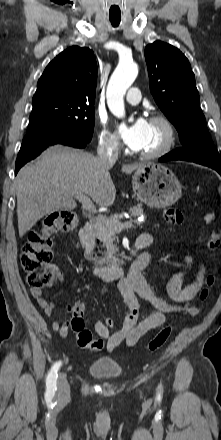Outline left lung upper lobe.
Wrapping results in <instances>:
<instances>
[{"mask_svg":"<svg viewBox=\"0 0 221 440\" xmlns=\"http://www.w3.org/2000/svg\"><path fill=\"white\" fill-rule=\"evenodd\" d=\"M150 91L159 108L179 133L183 145L172 151L183 160L221 167V158L199 106L195 76L184 54L155 41L145 48Z\"/></svg>","mask_w":221,"mask_h":440,"instance_id":"obj_1","label":"left lung upper lobe"}]
</instances>
